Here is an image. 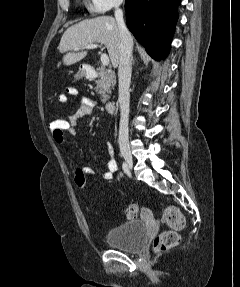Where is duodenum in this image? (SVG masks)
<instances>
[{"instance_id":"410a0bca","label":"duodenum","mask_w":240,"mask_h":287,"mask_svg":"<svg viewBox=\"0 0 240 287\" xmlns=\"http://www.w3.org/2000/svg\"><path fill=\"white\" fill-rule=\"evenodd\" d=\"M94 73H95V69L92 66H90V65L84 66V74L87 78L92 77L94 75ZM105 108H106L107 112L114 113L115 108H116V102L113 100L106 102Z\"/></svg>"}]
</instances>
